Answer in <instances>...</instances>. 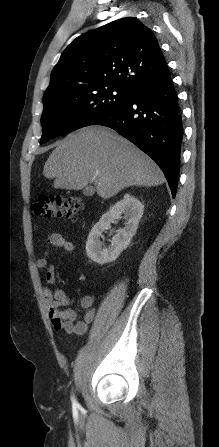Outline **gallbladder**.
Instances as JSON below:
<instances>
[{"label": "gallbladder", "mask_w": 219, "mask_h": 447, "mask_svg": "<svg viewBox=\"0 0 219 447\" xmlns=\"http://www.w3.org/2000/svg\"><path fill=\"white\" fill-rule=\"evenodd\" d=\"M94 192H95V190H94V188H92V187H86L84 190H83V194L85 195V196H92L93 194H94Z\"/></svg>", "instance_id": "gallbladder-1"}]
</instances>
